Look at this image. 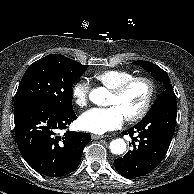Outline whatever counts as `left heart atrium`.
Instances as JSON below:
<instances>
[{
    "label": "left heart atrium",
    "mask_w": 194,
    "mask_h": 194,
    "mask_svg": "<svg viewBox=\"0 0 194 194\" xmlns=\"http://www.w3.org/2000/svg\"><path fill=\"white\" fill-rule=\"evenodd\" d=\"M125 117L115 106L106 108H92L84 112L78 120L80 128L84 131L102 134L119 128Z\"/></svg>",
    "instance_id": "obj_1"
}]
</instances>
